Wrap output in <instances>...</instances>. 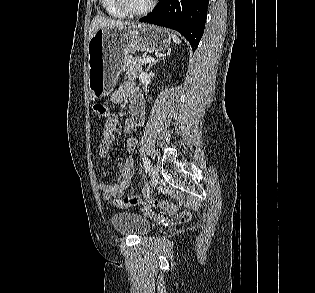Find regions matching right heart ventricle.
Here are the masks:
<instances>
[{"mask_svg":"<svg viewBox=\"0 0 315 293\" xmlns=\"http://www.w3.org/2000/svg\"><path fill=\"white\" fill-rule=\"evenodd\" d=\"M103 11L110 17L116 19H124L127 15L121 11L115 0H100Z\"/></svg>","mask_w":315,"mask_h":293,"instance_id":"1","label":"right heart ventricle"}]
</instances>
